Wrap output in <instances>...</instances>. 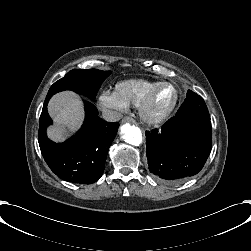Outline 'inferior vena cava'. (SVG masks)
I'll return each instance as SVG.
<instances>
[{
    "label": "inferior vena cava",
    "instance_id": "602c4592",
    "mask_svg": "<svg viewBox=\"0 0 251 251\" xmlns=\"http://www.w3.org/2000/svg\"><path fill=\"white\" fill-rule=\"evenodd\" d=\"M102 116L103 119L108 121V122H116L122 119L123 115L117 111L109 110V109H104L102 111Z\"/></svg>",
    "mask_w": 251,
    "mask_h": 251
}]
</instances>
